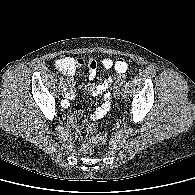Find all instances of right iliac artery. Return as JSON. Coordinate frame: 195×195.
Masks as SVG:
<instances>
[{"mask_svg": "<svg viewBox=\"0 0 195 195\" xmlns=\"http://www.w3.org/2000/svg\"><path fill=\"white\" fill-rule=\"evenodd\" d=\"M60 83L61 84H64L65 83V81H64V79L62 77L60 78Z\"/></svg>", "mask_w": 195, "mask_h": 195, "instance_id": "right-iliac-artery-1", "label": "right iliac artery"}]
</instances>
